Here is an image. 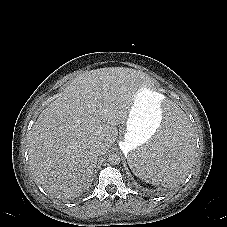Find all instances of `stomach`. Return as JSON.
Instances as JSON below:
<instances>
[{
  "label": "stomach",
  "instance_id": "0dacf381",
  "mask_svg": "<svg viewBox=\"0 0 227 227\" xmlns=\"http://www.w3.org/2000/svg\"><path fill=\"white\" fill-rule=\"evenodd\" d=\"M162 97L148 83H144L136 92L122 142L126 158L130 152L137 150L157 134L155 124L163 118L162 106L165 101Z\"/></svg>",
  "mask_w": 227,
  "mask_h": 227
}]
</instances>
